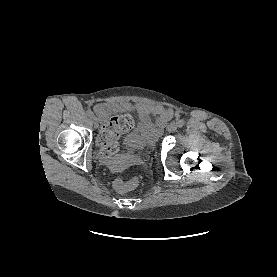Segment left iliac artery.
<instances>
[{"instance_id": "left-iliac-artery-1", "label": "left iliac artery", "mask_w": 277, "mask_h": 277, "mask_svg": "<svg viewBox=\"0 0 277 277\" xmlns=\"http://www.w3.org/2000/svg\"><path fill=\"white\" fill-rule=\"evenodd\" d=\"M184 124H185L184 120H178V121H177L178 127H183Z\"/></svg>"}]
</instances>
